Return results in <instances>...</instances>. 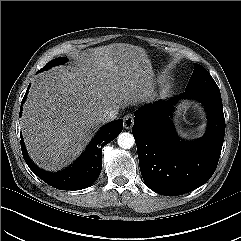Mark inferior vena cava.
Segmentation results:
<instances>
[{"instance_id": "obj_1", "label": "inferior vena cava", "mask_w": 241, "mask_h": 241, "mask_svg": "<svg viewBox=\"0 0 241 241\" xmlns=\"http://www.w3.org/2000/svg\"><path fill=\"white\" fill-rule=\"evenodd\" d=\"M117 115H118V109L106 111L100 116V121L102 123L113 121L117 118Z\"/></svg>"}]
</instances>
